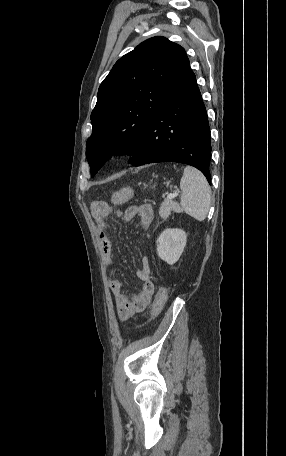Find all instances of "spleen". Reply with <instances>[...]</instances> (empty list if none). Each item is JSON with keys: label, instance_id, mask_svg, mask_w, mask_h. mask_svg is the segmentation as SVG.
I'll list each match as a JSON object with an SVG mask.
<instances>
[{"label": "spleen", "instance_id": "spleen-1", "mask_svg": "<svg viewBox=\"0 0 286 456\" xmlns=\"http://www.w3.org/2000/svg\"><path fill=\"white\" fill-rule=\"evenodd\" d=\"M180 188L182 209L194 219L204 221L211 201V190L205 176L197 169L187 166L180 180Z\"/></svg>", "mask_w": 286, "mask_h": 456}]
</instances>
